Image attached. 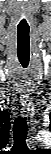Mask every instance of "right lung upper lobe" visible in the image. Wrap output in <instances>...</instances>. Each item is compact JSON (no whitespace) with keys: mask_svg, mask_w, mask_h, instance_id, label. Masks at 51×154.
Listing matches in <instances>:
<instances>
[{"mask_svg":"<svg viewBox=\"0 0 51 154\" xmlns=\"http://www.w3.org/2000/svg\"><path fill=\"white\" fill-rule=\"evenodd\" d=\"M2 116H3V119L6 121V123L9 124V114H8V112H3Z\"/></svg>","mask_w":51,"mask_h":154,"instance_id":"cb5924a9","label":"right lung upper lobe"}]
</instances>
